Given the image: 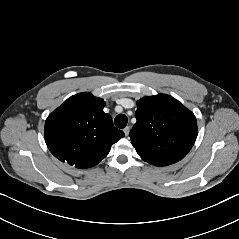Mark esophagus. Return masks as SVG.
I'll return each mask as SVG.
<instances>
[{
	"label": "esophagus",
	"instance_id": "esophagus-1",
	"mask_svg": "<svg viewBox=\"0 0 239 239\" xmlns=\"http://www.w3.org/2000/svg\"><path fill=\"white\" fill-rule=\"evenodd\" d=\"M123 131H124L125 136H128L129 132H130V127L129 126L125 127Z\"/></svg>",
	"mask_w": 239,
	"mask_h": 239
}]
</instances>
